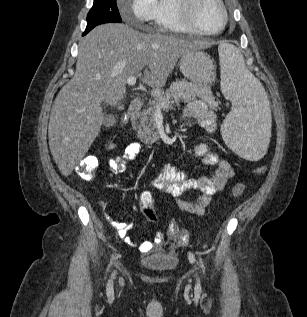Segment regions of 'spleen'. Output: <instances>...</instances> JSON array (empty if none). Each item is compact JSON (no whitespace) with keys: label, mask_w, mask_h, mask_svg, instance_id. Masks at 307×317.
Wrapping results in <instances>:
<instances>
[{"label":"spleen","mask_w":307,"mask_h":317,"mask_svg":"<svg viewBox=\"0 0 307 317\" xmlns=\"http://www.w3.org/2000/svg\"><path fill=\"white\" fill-rule=\"evenodd\" d=\"M218 51L221 90L235 102L222 124L223 139L242 160H259L266 153L273 106L264 86L246 68L240 50L221 44Z\"/></svg>","instance_id":"3e777b00"}]
</instances>
